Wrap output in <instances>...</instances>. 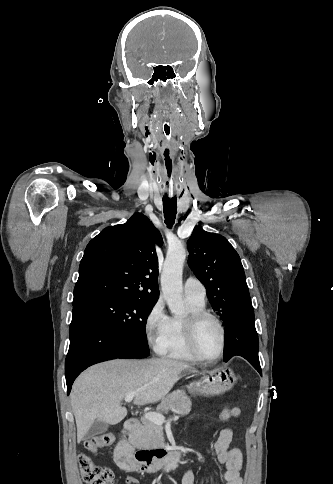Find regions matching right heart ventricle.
I'll return each instance as SVG.
<instances>
[{"instance_id":"e07e8e85","label":"right heart ventricle","mask_w":333,"mask_h":484,"mask_svg":"<svg viewBox=\"0 0 333 484\" xmlns=\"http://www.w3.org/2000/svg\"><path fill=\"white\" fill-rule=\"evenodd\" d=\"M187 303L189 313L205 310V302H199L187 298ZM185 317L186 316L169 317L163 345L159 353L169 359L197 362L199 360L191 353L187 345L184 327Z\"/></svg>"}]
</instances>
